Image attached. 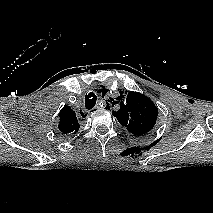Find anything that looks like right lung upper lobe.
I'll return each instance as SVG.
<instances>
[{"mask_svg": "<svg viewBox=\"0 0 213 213\" xmlns=\"http://www.w3.org/2000/svg\"><path fill=\"white\" fill-rule=\"evenodd\" d=\"M60 122L58 129L64 137L75 134L80 125L78 123L75 112L71 110L69 106H64L59 113Z\"/></svg>", "mask_w": 213, "mask_h": 213, "instance_id": "right-lung-upper-lobe-1", "label": "right lung upper lobe"}]
</instances>
